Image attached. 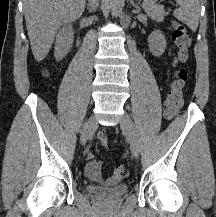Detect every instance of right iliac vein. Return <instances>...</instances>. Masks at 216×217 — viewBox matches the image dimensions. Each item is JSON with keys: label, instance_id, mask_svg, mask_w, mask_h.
<instances>
[{"label": "right iliac vein", "instance_id": "63e3f726", "mask_svg": "<svg viewBox=\"0 0 216 217\" xmlns=\"http://www.w3.org/2000/svg\"><path fill=\"white\" fill-rule=\"evenodd\" d=\"M97 128V122L93 116L89 117L81 131V143L85 144L88 138L93 134L95 129Z\"/></svg>", "mask_w": 216, "mask_h": 217}]
</instances>
